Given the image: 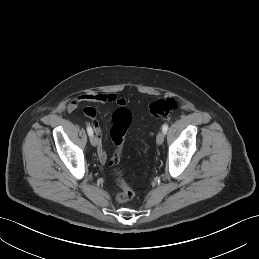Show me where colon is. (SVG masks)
<instances>
[{"mask_svg":"<svg viewBox=\"0 0 259 259\" xmlns=\"http://www.w3.org/2000/svg\"><path fill=\"white\" fill-rule=\"evenodd\" d=\"M177 109V102L173 98L158 99L149 106V112L156 118H169ZM132 122V114L129 109L120 107L111 115L110 136L115 146V151L111 157L110 163L114 166L113 174L117 181L120 191L116 199L118 202H127L134 197L132 187L125 181L122 173L117 168L120 163L121 150L124 143L126 132Z\"/></svg>","mask_w":259,"mask_h":259,"instance_id":"1","label":"colon"}]
</instances>
